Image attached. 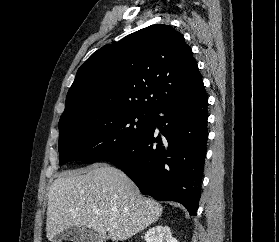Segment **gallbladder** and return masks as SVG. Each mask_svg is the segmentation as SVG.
Segmentation results:
<instances>
[{"label":"gallbladder","mask_w":279,"mask_h":242,"mask_svg":"<svg viewBox=\"0 0 279 242\" xmlns=\"http://www.w3.org/2000/svg\"><path fill=\"white\" fill-rule=\"evenodd\" d=\"M104 237L87 228L70 227L54 238V242H103Z\"/></svg>","instance_id":"bac80fb5"}]
</instances>
